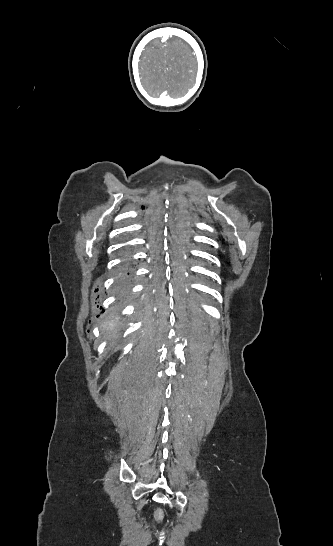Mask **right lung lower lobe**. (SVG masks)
<instances>
[{
    "label": "right lung lower lobe",
    "instance_id": "98d812e1",
    "mask_svg": "<svg viewBox=\"0 0 333 546\" xmlns=\"http://www.w3.org/2000/svg\"><path fill=\"white\" fill-rule=\"evenodd\" d=\"M130 254L127 252H124L123 255V261L118 266L117 271V284L120 289H124L126 286V281L131 276V264L132 262L129 260Z\"/></svg>",
    "mask_w": 333,
    "mask_h": 546
}]
</instances>
